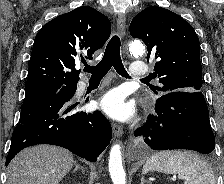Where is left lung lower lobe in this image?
<instances>
[{"label": "left lung lower lobe", "instance_id": "obj_1", "mask_svg": "<svg viewBox=\"0 0 224 184\" xmlns=\"http://www.w3.org/2000/svg\"><path fill=\"white\" fill-rule=\"evenodd\" d=\"M141 135L154 150L189 149L209 154L215 148L208 107L201 91H176L160 96L155 114L149 115L146 124L135 130V136Z\"/></svg>", "mask_w": 224, "mask_h": 184}]
</instances>
